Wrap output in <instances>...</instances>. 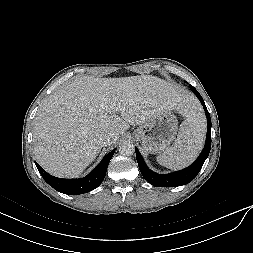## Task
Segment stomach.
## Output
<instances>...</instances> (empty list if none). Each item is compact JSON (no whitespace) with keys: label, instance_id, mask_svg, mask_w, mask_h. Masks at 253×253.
I'll use <instances>...</instances> for the list:
<instances>
[{"label":"stomach","instance_id":"obj_1","mask_svg":"<svg viewBox=\"0 0 253 253\" xmlns=\"http://www.w3.org/2000/svg\"><path fill=\"white\" fill-rule=\"evenodd\" d=\"M178 122L171 112H163L139 126L134 135L149 153L165 152L174 141Z\"/></svg>","mask_w":253,"mask_h":253}]
</instances>
